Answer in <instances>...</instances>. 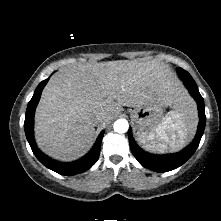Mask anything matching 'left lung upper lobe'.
<instances>
[{
	"label": "left lung upper lobe",
	"instance_id": "left-lung-upper-lobe-1",
	"mask_svg": "<svg viewBox=\"0 0 221 221\" xmlns=\"http://www.w3.org/2000/svg\"><path fill=\"white\" fill-rule=\"evenodd\" d=\"M182 68H177V71H179V70H181ZM183 70V69H182ZM185 76H187L189 79H191V80H193V78L191 77V75L187 72V71H185V70H183V75L181 76V77H185Z\"/></svg>",
	"mask_w": 221,
	"mask_h": 221
}]
</instances>
